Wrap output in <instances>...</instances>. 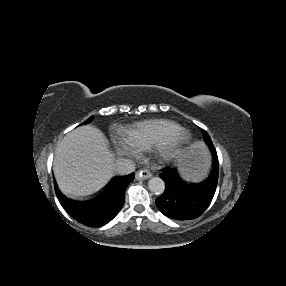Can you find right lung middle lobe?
Returning <instances> with one entry per match:
<instances>
[{
    "label": "right lung middle lobe",
    "instance_id": "dd1d6c3e",
    "mask_svg": "<svg viewBox=\"0 0 286 286\" xmlns=\"http://www.w3.org/2000/svg\"><path fill=\"white\" fill-rule=\"evenodd\" d=\"M93 117H90L86 122H84L83 124H88L92 121Z\"/></svg>",
    "mask_w": 286,
    "mask_h": 286
}]
</instances>
